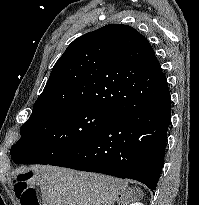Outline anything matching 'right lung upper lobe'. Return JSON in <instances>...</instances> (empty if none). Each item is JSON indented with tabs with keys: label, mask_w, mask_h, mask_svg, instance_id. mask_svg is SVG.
I'll return each mask as SVG.
<instances>
[{
	"label": "right lung upper lobe",
	"mask_w": 199,
	"mask_h": 205,
	"mask_svg": "<svg viewBox=\"0 0 199 205\" xmlns=\"http://www.w3.org/2000/svg\"><path fill=\"white\" fill-rule=\"evenodd\" d=\"M163 73L136 29L109 24L74 40L54 65L33 110L89 105L113 113L133 105Z\"/></svg>",
	"instance_id": "obj_1"
}]
</instances>
